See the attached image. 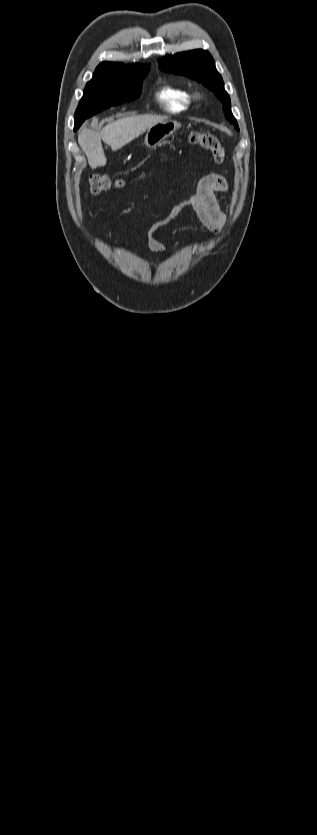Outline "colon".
I'll return each instance as SVG.
<instances>
[{
	"mask_svg": "<svg viewBox=\"0 0 317 835\" xmlns=\"http://www.w3.org/2000/svg\"><path fill=\"white\" fill-rule=\"evenodd\" d=\"M188 140L190 143L211 152L216 162L223 161L225 150L216 136L203 131H194L189 135ZM89 183L90 191L95 195L105 193L114 187H119L124 184L123 180H115L104 174L92 175Z\"/></svg>",
	"mask_w": 317,
	"mask_h": 835,
	"instance_id": "5ec220e1",
	"label": "colon"
}]
</instances>
